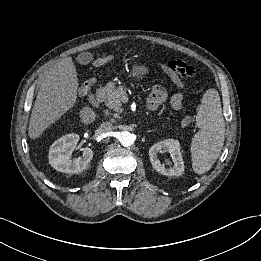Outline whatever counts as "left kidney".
<instances>
[{
	"mask_svg": "<svg viewBox=\"0 0 261 261\" xmlns=\"http://www.w3.org/2000/svg\"><path fill=\"white\" fill-rule=\"evenodd\" d=\"M169 152L174 166L165 167L158 159V153ZM149 157L153 168L165 176H180L184 171V162L180 152V144L178 140L166 139L154 144L149 149Z\"/></svg>",
	"mask_w": 261,
	"mask_h": 261,
	"instance_id": "obj_1",
	"label": "left kidney"
}]
</instances>
